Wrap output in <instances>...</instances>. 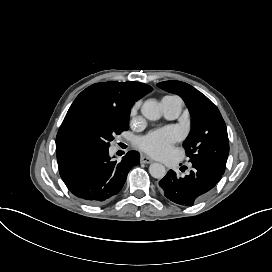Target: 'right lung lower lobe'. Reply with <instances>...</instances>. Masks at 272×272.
Returning <instances> with one entry per match:
<instances>
[{"instance_id": "obj_1", "label": "right lung lower lobe", "mask_w": 272, "mask_h": 272, "mask_svg": "<svg viewBox=\"0 0 272 272\" xmlns=\"http://www.w3.org/2000/svg\"><path fill=\"white\" fill-rule=\"evenodd\" d=\"M139 154L129 151L121 162L112 161L108 149H75L57 153L60 176L69 191L89 205H99L122 189L129 170L139 164Z\"/></svg>"}]
</instances>
